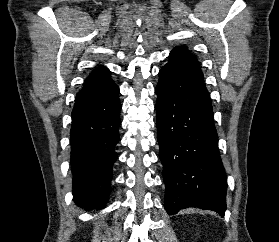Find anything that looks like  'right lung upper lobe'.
<instances>
[{"label": "right lung upper lobe", "mask_w": 279, "mask_h": 242, "mask_svg": "<svg viewBox=\"0 0 279 242\" xmlns=\"http://www.w3.org/2000/svg\"><path fill=\"white\" fill-rule=\"evenodd\" d=\"M109 73L110 71L104 66H99L93 70L76 98L92 96L115 85L112 79H110Z\"/></svg>", "instance_id": "cb5924a9"}]
</instances>
